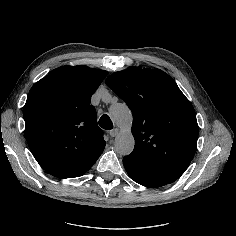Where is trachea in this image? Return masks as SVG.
Listing matches in <instances>:
<instances>
[{"instance_id":"1","label":"trachea","mask_w":236,"mask_h":236,"mask_svg":"<svg viewBox=\"0 0 236 236\" xmlns=\"http://www.w3.org/2000/svg\"><path fill=\"white\" fill-rule=\"evenodd\" d=\"M99 125L103 129L110 130L113 128V123L110 119V117L107 114H104L99 119Z\"/></svg>"}]
</instances>
